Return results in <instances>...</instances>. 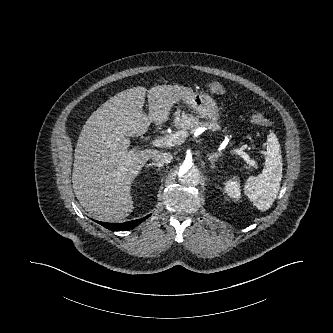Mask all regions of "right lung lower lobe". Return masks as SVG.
Instances as JSON below:
<instances>
[{"mask_svg":"<svg viewBox=\"0 0 333 333\" xmlns=\"http://www.w3.org/2000/svg\"><path fill=\"white\" fill-rule=\"evenodd\" d=\"M149 216L150 215L144 217L143 219H137L125 223H106V222H98V223L112 231H127L136 227L138 224L147 219Z\"/></svg>","mask_w":333,"mask_h":333,"instance_id":"1","label":"right lung lower lobe"}]
</instances>
